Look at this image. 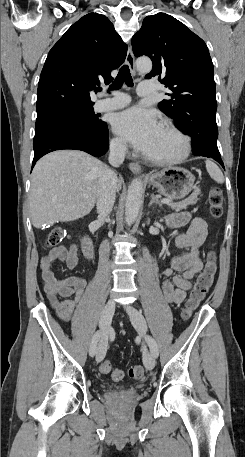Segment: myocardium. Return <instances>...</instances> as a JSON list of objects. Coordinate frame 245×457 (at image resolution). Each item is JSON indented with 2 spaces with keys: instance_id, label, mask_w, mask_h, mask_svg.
<instances>
[{
  "instance_id": "f54148a6",
  "label": "myocardium",
  "mask_w": 245,
  "mask_h": 457,
  "mask_svg": "<svg viewBox=\"0 0 245 457\" xmlns=\"http://www.w3.org/2000/svg\"><path fill=\"white\" fill-rule=\"evenodd\" d=\"M161 128L174 135L179 140L178 150L174 153L164 155L145 154V158L156 164H171L185 159L190 150L188 137L169 122L163 123Z\"/></svg>"
}]
</instances>
